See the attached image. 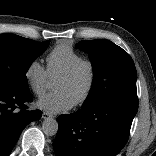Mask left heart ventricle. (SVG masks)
<instances>
[{
  "mask_svg": "<svg viewBox=\"0 0 156 156\" xmlns=\"http://www.w3.org/2000/svg\"><path fill=\"white\" fill-rule=\"evenodd\" d=\"M88 83V70L82 68L70 80L56 79L53 84L54 91L63 92L73 103L83 94Z\"/></svg>",
  "mask_w": 156,
  "mask_h": 156,
  "instance_id": "b2bd125f",
  "label": "left heart ventricle"
}]
</instances>
